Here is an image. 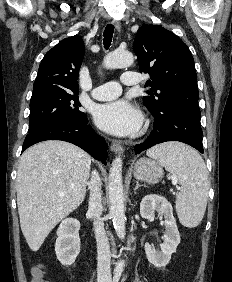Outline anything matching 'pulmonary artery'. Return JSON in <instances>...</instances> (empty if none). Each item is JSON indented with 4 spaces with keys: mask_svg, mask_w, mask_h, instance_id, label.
I'll return each mask as SVG.
<instances>
[{
    "mask_svg": "<svg viewBox=\"0 0 232 282\" xmlns=\"http://www.w3.org/2000/svg\"><path fill=\"white\" fill-rule=\"evenodd\" d=\"M121 82L127 86H134L139 84L140 78L136 72L126 71L121 76ZM121 92V85L118 82L110 81L95 87L91 94L97 100L108 101L120 96Z\"/></svg>",
    "mask_w": 232,
    "mask_h": 282,
    "instance_id": "obj_1",
    "label": "pulmonary artery"
}]
</instances>
